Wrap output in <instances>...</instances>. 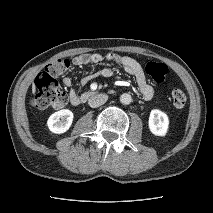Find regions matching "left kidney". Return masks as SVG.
<instances>
[{"label":"left kidney","mask_w":213,"mask_h":213,"mask_svg":"<svg viewBox=\"0 0 213 213\" xmlns=\"http://www.w3.org/2000/svg\"><path fill=\"white\" fill-rule=\"evenodd\" d=\"M148 125L152 134L156 136H165L169 128L167 114L158 109H153L150 112Z\"/></svg>","instance_id":"1"}]
</instances>
